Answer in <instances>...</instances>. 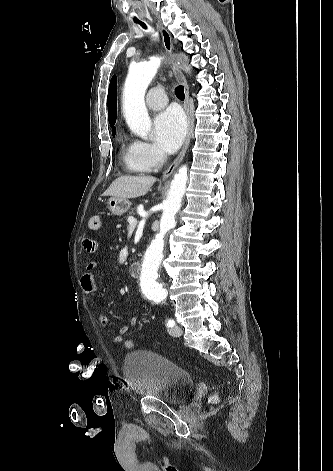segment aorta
Listing matches in <instances>:
<instances>
[{"label":"aorta","mask_w":333,"mask_h":471,"mask_svg":"<svg viewBox=\"0 0 333 471\" xmlns=\"http://www.w3.org/2000/svg\"><path fill=\"white\" fill-rule=\"evenodd\" d=\"M161 59L152 57L149 61L132 65L129 69L123 92V112L130 130L142 139L151 131V120L145 106V92L160 66ZM187 166L175 174L164 203L160 219V230L147 248L141 267V282L145 294L164 300L167 291L159 281V268L163 259L165 235L175 227V215L180 208L188 179Z\"/></svg>","instance_id":"aorta-1"}]
</instances>
